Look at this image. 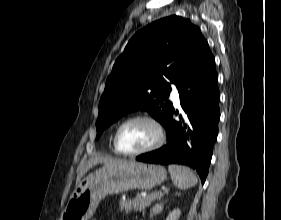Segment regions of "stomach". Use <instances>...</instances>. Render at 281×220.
<instances>
[{
	"label": "stomach",
	"instance_id": "obj_1",
	"mask_svg": "<svg viewBox=\"0 0 281 220\" xmlns=\"http://www.w3.org/2000/svg\"><path fill=\"white\" fill-rule=\"evenodd\" d=\"M166 176L164 167L141 162L99 168L76 187L60 220H89L106 195L131 189L148 190L161 184Z\"/></svg>",
	"mask_w": 281,
	"mask_h": 220
}]
</instances>
